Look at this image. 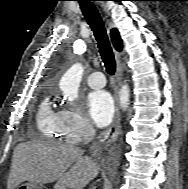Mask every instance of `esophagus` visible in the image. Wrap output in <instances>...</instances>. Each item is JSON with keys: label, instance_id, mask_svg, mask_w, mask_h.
<instances>
[{"label": "esophagus", "instance_id": "esophagus-1", "mask_svg": "<svg viewBox=\"0 0 188 189\" xmlns=\"http://www.w3.org/2000/svg\"><path fill=\"white\" fill-rule=\"evenodd\" d=\"M116 60H117V72H116V81L117 85L115 87V117L111 124V126L105 131L102 142L104 148H108L117 138L118 131L120 129V121H121V115L119 111V101H118V87L121 83L122 79V65L120 60V54L116 53Z\"/></svg>", "mask_w": 188, "mask_h": 189}]
</instances>
